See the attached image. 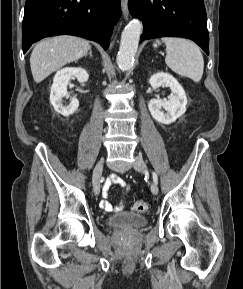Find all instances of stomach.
<instances>
[{"label":"stomach","mask_w":243,"mask_h":289,"mask_svg":"<svg viewBox=\"0 0 243 289\" xmlns=\"http://www.w3.org/2000/svg\"><path fill=\"white\" fill-rule=\"evenodd\" d=\"M156 45H158L159 44V41H156V43H155Z\"/></svg>","instance_id":"0dacf381"}]
</instances>
